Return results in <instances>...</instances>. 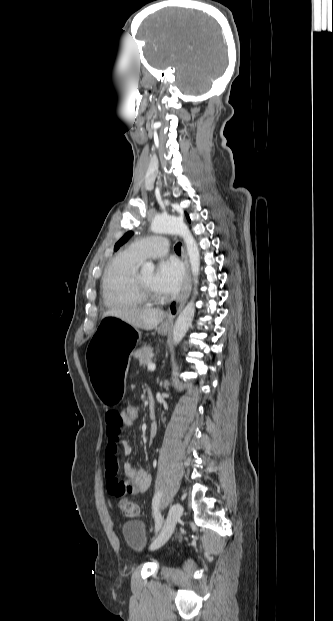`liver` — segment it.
Instances as JSON below:
<instances>
[{
	"label": "liver",
	"mask_w": 333,
	"mask_h": 621,
	"mask_svg": "<svg viewBox=\"0 0 333 621\" xmlns=\"http://www.w3.org/2000/svg\"><path fill=\"white\" fill-rule=\"evenodd\" d=\"M107 316L119 318L136 328L152 330L163 321L165 313L160 309L130 307L108 310L103 314V317Z\"/></svg>",
	"instance_id": "liver-1"
}]
</instances>
